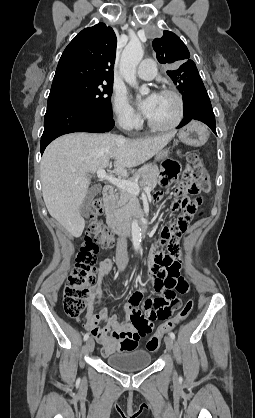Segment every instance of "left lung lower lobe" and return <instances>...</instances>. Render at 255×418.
Segmentation results:
<instances>
[{
	"instance_id": "left-lung-lower-lobe-1",
	"label": "left lung lower lobe",
	"mask_w": 255,
	"mask_h": 418,
	"mask_svg": "<svg viewBox=\"0 0 255 418\" xmlns=\"http://www.w3.org/2000/svg\"><path fill=\"white\" fill-rule=\"evenodd\" d=\"M183 102L184 119L177 128L186 125L194 119L207 124L216 134L215 116L204 86L185 93L183 95Z\"/></svg>"
}]
</instances>
